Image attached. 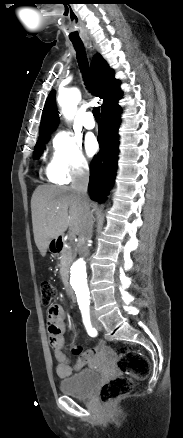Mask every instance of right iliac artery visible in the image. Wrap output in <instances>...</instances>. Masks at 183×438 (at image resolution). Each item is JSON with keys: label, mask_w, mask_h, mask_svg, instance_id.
Segmentation results:
<instances>
[{"label": "right iliac artery", "mask_w": 183, "mask_h": 438, "mask_svg": "<svg viewBox=\"0 0 183 438\" xmlns=\"http://www.w3.org/2000/svg\"><path fill=\"white\" fill-rule=\"evenodd\" d=\"M81 313H82L83 323L86 327L88 334L91 337H95L97 335V330L95 328H93L91 325L89 309L83 308V309H81Z\"/></svg>", "instance_id": "82829eb1"}]
</instances>
